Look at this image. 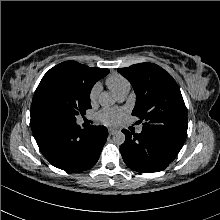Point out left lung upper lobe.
<instances>
[{
  "label": "left lung upper lobe",
  "instance_id": "1",
  "mask_svg": "<svg viewBox=\"0 0 220 220\" xmlns=\"http://www.w3.org/2000/svg\"><path fill=\"white\" fill-rule=\"evenodd\" d=\"M118 72L134 88L136 104L132 115L144 121L142 130L183 146L187 136V110L172 76L153 63L134 64L119 68Z\"/></svg>",
  "mask_w": 220,
  "mask_h": 220
}]
</instances>
